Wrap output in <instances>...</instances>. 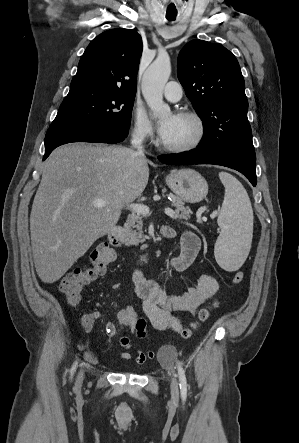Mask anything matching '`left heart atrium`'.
I'll return each mask as SVG.
<instances>
[{"instance_id": "1", "label": "left heart atrium", "mask_w": 299, "mask_h": 443, "mask_svg": "<svg viewBox=\"0 0 299 443\" xmlns=\"http://www.w3.org/2000/svg\"><path fill=\"white\" fill-rule=\"evenodd\" d=\"M176 118L177 116L175 115H169L158 123V133L161 138H163L170 132L176 122Z\"/></svg>"}]
</instances>
